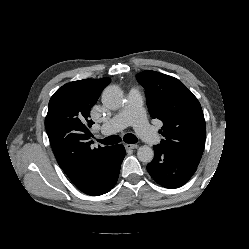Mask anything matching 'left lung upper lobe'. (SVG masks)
Segmentation results:
<instances>
[{"mask_svg":"<svg viewBox=\"0 0 249 249\" xmlns=\"http://www.w3.org/2000/svg\"><path fill=\"white\" fill-rule=\"evenodd\" d=\"M136 78L145 88L151 117L163 122L159 145L198 165L206 125L197 98L178 79L156 71H143Z\"/></svg>","mask_w":249,"mask_h":249,"instance_id":"5c2ea615","label":"left lung upper lobe"}]
</instances>
